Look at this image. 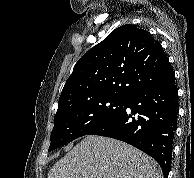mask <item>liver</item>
<instances>
[{
  "label": "liver",
  "instance_id": "6515ba94",
  "mask_svg": "<svg viewBox=\"0 0 194 178\" xmlns=\"http://www.w3.org/2000/svg\"><path fill=\"white\" fill-rule=\"evenodd\" d=\"M48 178H161V169L131 145L88 135L55 163Z\"/></svg>",
  "mask_w": 194,
  "mask_h": 178
}]
</instances>
